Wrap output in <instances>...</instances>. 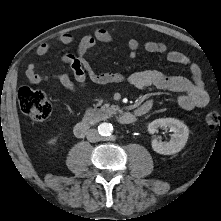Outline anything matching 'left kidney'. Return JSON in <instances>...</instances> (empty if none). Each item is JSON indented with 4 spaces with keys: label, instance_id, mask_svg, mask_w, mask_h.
<instances>
[{
    "label": "left kidney",
    "instance_id": "5707ae66",
    "mask_svg": "<svg viewBox=\"0 0 221 221\" xmlns=\"http://www.w3.org/2000/svg\"><path fill=\"white\" fill-rule=\"evenodd\" d=\"M160 127H168L173 132V134L171 135L169 142H162L157 139H153V150L163 155H172L181 151L188 140V127L178 119L160 118L149 123L148 131L150 134H154Z\"/></svg>",
    "mask_w": 221,
    "mask_h": 221
}]
</instances>
